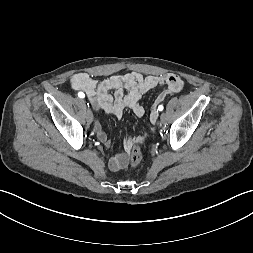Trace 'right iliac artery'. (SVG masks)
<instances>
[{
    "mask_svg": "<svg viewBox=\"0 0 253 253\" xmlns=\"http://www.w3.org/2000/svg\"><path fill=\"white\" fill-rule=\"evenodd\" d=\"M78 96H79L80 98H84V97H85V94H84L83 92H79V93H78Z\"/></svg>",
    "mask_w": 253,
    "mask_h": 253,
    "instance_id": "right-iliac-artery-1",
    "label": "right iliac artery"
}]
</instances>
